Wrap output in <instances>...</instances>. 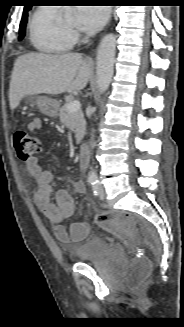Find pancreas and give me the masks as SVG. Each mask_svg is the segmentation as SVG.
<instances>
[{"label": "pancreas", "instance_id": "1", "mask_svg": "<svg viewBox=\"0 0 184 327\" xmlns=\"http://www.w3.org/2000/svg\"><path fill=\"white\" fill-rule=\"evenodd\" d=\"M66 102L59 110L60 122L75 133L76 143L79 144L85 134L86 122L82 111L69 113Z\"/></svg>", "mask_w": 184, "mask_h": 327}]
</instances>
